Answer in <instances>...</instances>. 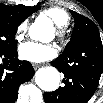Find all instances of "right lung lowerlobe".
<instances>
[{
  "label": "right lung lower lobe",
  "mask_w": 103,
  "mask_h": 103,
  "mask_svg": "<svg viewBox=\"0 0 103 103\" xmlns=\"http://www.w3.org/2000/svg\"><path fill=\"white\" fill-rule=\"evenodd\" d=\"M3 60H10L9 67L0 65V103H14L18 97L19 86L30 80L34 69L30 62L16 59L17 51L11 54H0ZM4 68L8 71H4Z\"/></svg>",
  "instance_id": "right-lung-lower-lobe-1"
}]
</instances>
